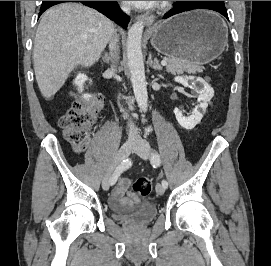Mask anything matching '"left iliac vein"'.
<instances>
[{
    "mask_svg": "<svg viewBox=\"0 0 271 266\" xmlns=\"http://www.w3.org/2000/svg\"><path fill=\"white\" fill-rule=\"evenodd\" d=\"M134 152L138 156H140L142 159L148 160L150 157L151 151H150V147L148 144L140 143L135 147ZM156 192L158 195H163L165 193V187L162 184H157L156 185Z\"/></svg>",
    "mask_w": 271,
    "mask_h": 266,
    "instance_id": "1",
    "label": "left iliac vein"
}]
</instances>
